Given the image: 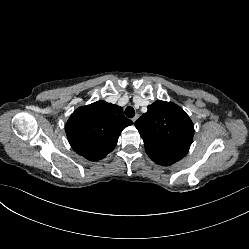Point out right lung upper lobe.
Masks as SVG:
<instances>
[{"mask_svg": "<svg viewBox=\"0 0 249 249\" xmlns=\"http://www.w3.org/2000/svg\"><path fill=\"white\" fill-rule=\"evenodd\" d=\"M132 124L122 107L97 101L76 109L65 125V132L75 152L97 161L115 148L122 130Z\"/></svg>", "mask_w": 249, "mask_h": 249, "instance_id": "cb5924a9", "label": "right lung upper lobe"}]
</instances>
